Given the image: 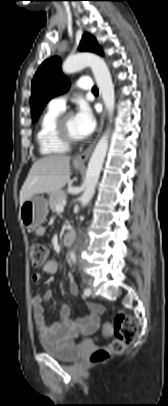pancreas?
<instances>
[{"label":"pancreas","mask_w":168,"mask_h":406,"mask_svg":"<svg viewBox=\"0 0 168 406\" xmlns=\"http://www.w3.org/2000/svg\"><path fill=\"white\" fill-rule=\"evenodd\" d=\"M66 194L64 191L60 190L54 194H51L50 198H49V205L50 208L53 212L56 211V205L58 204H63L64 202H66Z\"/></svg>","instance_id":"obj_1"}]
</instances>
